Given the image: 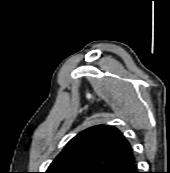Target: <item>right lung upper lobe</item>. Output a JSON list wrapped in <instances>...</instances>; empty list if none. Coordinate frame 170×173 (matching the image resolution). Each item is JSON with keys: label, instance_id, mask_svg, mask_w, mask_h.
<instances>
[{"label": "right lung upper lobe", "instance_id": "right-lung-upper-lobe-1", "mask_svg": "<svg viewBox=\"0 0 170 173\" xmlns=\"http://www.w3.org/2000/svg\"><path fill=\"white\" fill-rule=\"evenodd\" d=\"M132 157L129 142L117 128L97 125L71 139L46 173H103Z\"/></svg>", "mask_w": 170, "mask_h": 173}]
</instances>
